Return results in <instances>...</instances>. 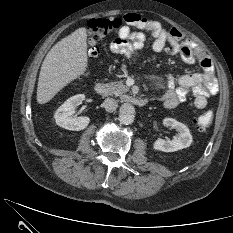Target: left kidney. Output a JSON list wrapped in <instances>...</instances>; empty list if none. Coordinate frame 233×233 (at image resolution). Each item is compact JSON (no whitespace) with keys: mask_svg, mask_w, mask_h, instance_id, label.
Instances as JSON below:
<instances>
[{"mask_svg":"<svg viewBox=\"0 0 233 233\" xmlns=\"http://www.w3.org/2000/svg\"><path fill=\"white\" fill-rule=\"evenodd\" d=\"M163 125L175 129L178 137L173 140L157 139L153 144V149L162 152H175L187 148L192 143V135L186 125L173 118H165Z\"/></svg>","mask_w":233,"mask_h":233,"instance_id":"1","label":"left kidney"}]
</instances>
